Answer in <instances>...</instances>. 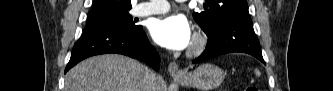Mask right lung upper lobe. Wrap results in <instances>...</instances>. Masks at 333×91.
<instances>
[{"label": "right lung upper lobe", "instance_id": "right-lung-upper-lobe-1", "mask_svg": "<svg viewBox=\"0 0 333 91\" xmlns=\"http://www.w3.org/2000/svg\"><path fill=\"white\" fill-rule=\"evenodd\" d=\"M131 7V0H94L89 19L120 14Z\"/></svg>", "mask_w": 333, "mask_h": 91}]
</instances>
